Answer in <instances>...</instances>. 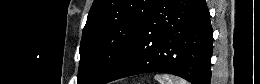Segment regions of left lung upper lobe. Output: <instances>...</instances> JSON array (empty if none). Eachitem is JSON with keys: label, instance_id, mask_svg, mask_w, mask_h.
<instances>
[{"label": "left lung upper lobe", "instance_id": "left-lung-upper-lobe-1", "mask_svg": "<svg viewBox=\"0 0 260 84\" xmlns=\"http://www.w3.org/2000/svg\"><path fill=\"white\" fill-rule=\"evenodd\" d=\"M157 0H94L80 44L78 84H102Z\"/></svg>", "mask_w": 260, "mask_h": 84}]
</instances>
